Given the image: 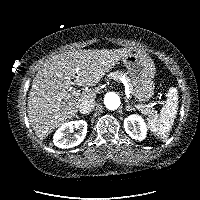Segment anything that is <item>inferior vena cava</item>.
Segmentation results:
<instances>
[{
	"label": "inferior vena cava",
	"mask_w": 200,
	"mask_h": 200,
	"mask_svg": "<svg viewBox=\"0 0 200 200\" xmlns=\"http://www.w3.org/2000/svg\"><path fill=\"white\" fill-rule=\"evenodd\" d=\"M94 106H95V99H92V98L85 99L80 104L79 111L82 114H88L93 110Z\"/></svg>",
	"instance_id": "inferior-vena-cava-1"
}]
</instances>
